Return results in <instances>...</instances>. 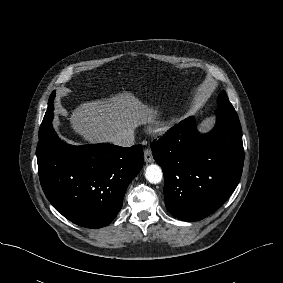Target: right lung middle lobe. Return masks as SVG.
Masks as SVG:
<instances>
[{"mask_svg": "<svg viewBox=\"0 0 283 283\" xmlns=\"http://www.w3.org/2000/svg\"><path fill=\"white\" fill-rule=\"evenodd\" d=\"M54 97H55V92L51 94L50 99L48 101V108H47V111L45 113V116L43 118V121L40 126V130H39V139H41L45 135V133L49 129V126L52 125L53 110H54V107H53Z\"/></svg>", "mask_w": 283, "mask_h": 283, "instance_id": "right-lung-middle-lobe-1", "label": "right lung middle lobe"}]
</instances>
